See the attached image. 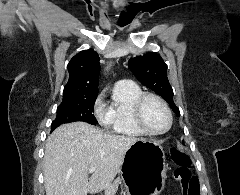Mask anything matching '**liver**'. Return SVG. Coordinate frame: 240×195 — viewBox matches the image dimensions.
Listing matches in <instances>:
<instances>
[{
    "mask_svg": "<svg viewBox=\"0 0 240 195\" xmlns=\"http://www.w3.org/2000/svg\"><path fill=\"white\" fill-rule=\"evenodd\" d=\"M138 139L106 133L85 121L59 125L48 135L43 157L46 195H87L117 189L116 175L126 151ZM90 167L96 169L88 177Z\"/></svg>",
    "mask_w": 240,
    "mask_h": 195,
    "instance_id": "6515ba94",
    "label": "liver"
}]
</instances>
